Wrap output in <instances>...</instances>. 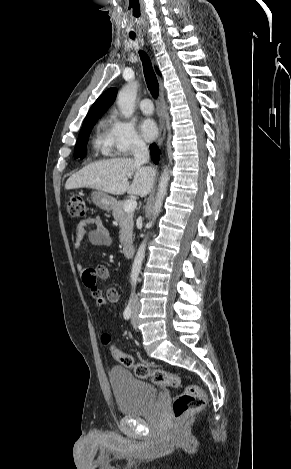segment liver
<instances>
[{
  "instance_id": "liver-1",
  "label": "liver",
  "mask_w": 291,
  "mask_h": 469,
  "mask_svg": "<svg viewBox=\"0 0 291 469\" xmlns=\"http://www.w3.org/2000/svg\"><path fill=\"white\" fill-rule=\"evenodd\" d=\"M155 176L153 167L144 166L132 158H113L83 167L67 179L65 188L87 187L116 195L127 192L145 197L153 188ZM132 177L130 184L128 179Z\"/></svg>"
}]
</instances>
